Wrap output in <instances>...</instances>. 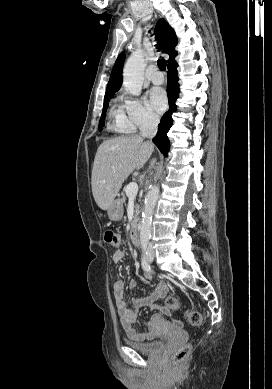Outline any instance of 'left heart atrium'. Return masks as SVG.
<instances>
[{
  "label": "left heart atrium",
  "instance_id": "obj_1",
  "mask_svg": "<svg viewBox=\"0 0 272 389\" xmlns=\"http://www.w3.org/2000/svg\"><path fill=\"white\" fill-rule=\"evenodd\" d=\"M148 104L156 112L161 113L167 107L166 94L162 89L153 88L148 92Z\"/></svg>",
  "mask_w": 272,
  "mask_h": 389
}]
</instances>
